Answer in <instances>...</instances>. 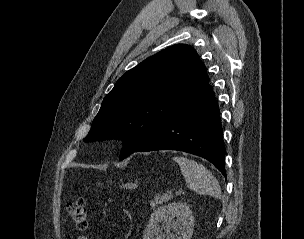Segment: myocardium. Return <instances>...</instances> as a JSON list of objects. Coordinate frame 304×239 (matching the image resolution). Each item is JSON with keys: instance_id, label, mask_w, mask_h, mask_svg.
I'll return each mask as SVG.
<instances>
[{"instance_id": "1", "label": "myocardium", "mask_w": 304, "mask_h": 239, "mask_svg": "<svg viewBox=\"0 0 304 239\" xmlns=\"http://www.w3.org/2000/svg\"><path fill=\"white\" fill-rule=\"evenodd\" d=\"M115 141L114 140H108L107 142H106V146H108V147H112V146H114L115 145Z\"/></svg>"}]
</instances>
